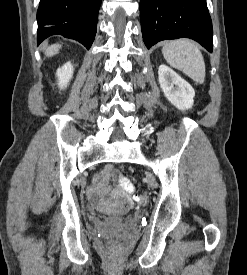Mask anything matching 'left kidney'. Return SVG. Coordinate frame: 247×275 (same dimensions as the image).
<instances>
[{
  "label": "left kidney",
  "instance_id": "5707ae66",
  "mask_svg": "<svg viewBox=\"0 0 247 275\" xmlns=\"http://www.w3.org/2000/svg\"><path fill=\"white\" fill-rule=\"evenodd\" d=\"M160 87L170 101L179 110H187L193 106L195 91L193 87L167 65L158 69Z\"/></svg>",
  "mask_w": 247,
  "mask_h": 275
}]
</instances>
